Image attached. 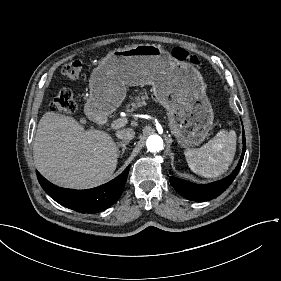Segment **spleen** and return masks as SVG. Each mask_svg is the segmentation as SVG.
I'll use <instances>...</instances> for the list:
<instances>
[{"label": "spleen", "instance_id": "obj_1", "mask_svg": "<svg viewBox=\"0 0 281 281\" xmlns=\"http://www.w3.org/2000/svg\"><path fill=\"white\" fill-rule=\"evenodd\" d=\"M228 124L232 125V121ZM236 141L237 136L234 130H221L202 147L185 150L189 168L206 178L220 176L228 170L234 159Z\"/></svg>", "mask_w": 281, "mask_h": 281}]
</instances>
